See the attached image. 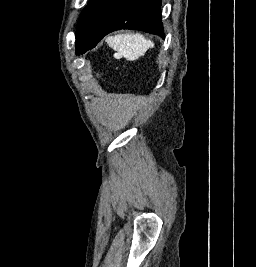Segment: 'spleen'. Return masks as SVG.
Returning <instances> with one entry per match:
<instances>
[{
    "label": "spleen",
    "instance_id": "obj_1",
    "mask_svg": "<svg viewBox=\"0 0 256 267\" xmlns=\"http://www.w3.org/2000/svg\"><path fill=\"white\" fill-rule=\"evenodd\" d=\"M106 42L110 48L116 50L115 56L125 58L129 62L139 60L147 50L154 48V42L147 40L142 34H117V36H109Z\"/></svg>",
    "mask_w": 256,
    "mask_h": 267
}]
</instances>
